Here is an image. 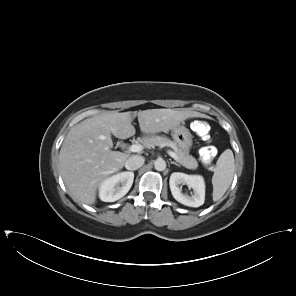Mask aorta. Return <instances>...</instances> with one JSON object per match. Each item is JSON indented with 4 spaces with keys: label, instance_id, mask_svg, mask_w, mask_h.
I'll use <instances>...</instances> for the list:
<instances>
[{
    "label": "aorta",
    "instance_id": "obj_1",
    "mask_svg": "<svg viewBox=\"0 0 296 296\" xmlns=\"http://www.w3.org/2000/svg\"><path fill=\"white\" fill-rule=\"evenodd\" d=\"M154 168L157 171H164L166 169V162L162 158L155 160Z\"/></svg>",
    "mask_w": 296,
    "mask_h": 296
}]
</instances>
